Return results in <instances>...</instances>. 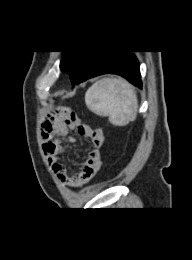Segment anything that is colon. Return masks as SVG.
Wrapping results in <instances>:
<instances>
[{"instance_id": "1", "label": "colon", "mask_w": 192, "mask_h": 260, "mask_svg": "<svg viewBox=\"0 0 192 260\" xmlns=\"http://www.w3.org/2000/svg\"><path fill=\"white\" fill-rule=\"evenodd\" d=\"M57 114H59V115H66V110L57 112V113H55L54 115H57Z\"/></svg>"}]
</instances>
